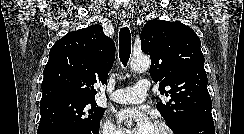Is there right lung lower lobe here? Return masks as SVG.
I'll return each instance as SVG.
<instances>
[{"label": "right lung lower lobe", "instance_id": "obj_1", "mask_svg": "<svg viewBox=\"0 0 244 134\" xmlns=\"http://www.w3.org/2000/svg\"><path fill=\"white\" fill-rule=\"evenodd\" d=\"M46 134H99V128L95 130H84L73 127H62L53 129Z\"/></svg>", "mask_w": 244, "mask_h": 134}]
</instances>
